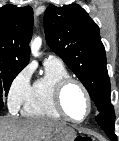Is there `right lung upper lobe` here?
Wrapping results in <instances>:
<instances>
[{"label":"right lung upper lobe","instance_id":"right-lung-upper-lobe-1","mask_svg":"<svg viewBox=\"0 0 119 141\" xmlns=\"http://www.w3.org/2000/svg\"><path fill=\"white\" fill-rule=\"evenodd\" d=\"M33 9L5 5L0 8V70H22L29 62Z\"/></svg>","mask_w":119,"mask_h":141}]
</instances>
